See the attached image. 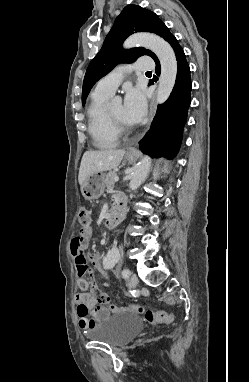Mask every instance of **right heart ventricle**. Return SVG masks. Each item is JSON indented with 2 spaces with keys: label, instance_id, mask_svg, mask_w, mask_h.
<instances>
[{
  "label": "right heart ventricle",
  "instance_id": "obj_1",
  "mask_svg": "<svg viewBox=\"0 0 249 382\" xmlns=\"http://www.w3.org/2000/svg\"><path fill=\"white\" fill-rule=\"evenodd\" d=\"M111 95L94 90L87 108L88 130L93 144L99 149L115 147L119 134L114 131L106 114V103Z\"/></svg>",
  "mask_w": 249,
  "mask_h": 382
}]
</instances>
